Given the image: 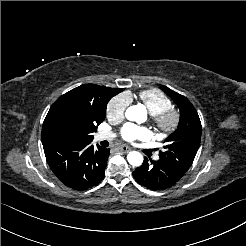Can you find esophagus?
<instances>
[{"mask_svg":"<svg viewBox=\"0 0 246 246\" xmlns=\"http://www.w3.org/2000/svg\"><path fill=\"white\" fill-rule=\"evenodd\" d=\"M116 150L118 152H122V153H128L131 151V149L129 147H126V146H120Z\"/></svg>","mask_w":246,"mask_h":246,"instance_id":"obj_1","label":"esophagus"}]
</instances>
